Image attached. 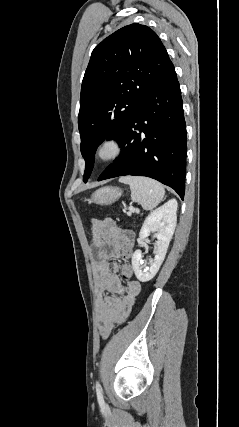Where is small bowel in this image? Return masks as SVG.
Segmentation results:
<instances>
[{
  "instance_id": "1",
  "label": "small bowel",
  "mask_w": 239,
  "mask_h": 427,
  "mask_svg": "<svg viewBox=\"0 0 239 427\" xmlns=\"http://www.w3.org/2000/svg\"><path fill=\"white\" fill-rule=\"evenodd\" d=\"M96 231L91 245L93 269L96 280L97 318L103 337L115 324L124 322L131 313L136 297L141 291L139 281L133 279V267L111 263L120 257L130 259L135 244L131 230L119 228L112 219L95 223ZM125 280L122 285L118 272Z\"/></svg>"
}]
</instances>
